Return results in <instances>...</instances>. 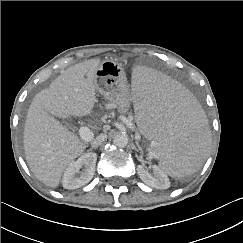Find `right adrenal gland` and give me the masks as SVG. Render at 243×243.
Returning a JSON list of instances; mask_svg holds the SVG:
<instances>
[{
  "label": "right adrenal gland",
  "mask_w": 243,
  "mask_h": 243,
  "mask_svg": "<svg viewBox=\"0 0 243 243\" xmlns=\"http://www.w3.org/2000/svg\"><path fill=\"white\" fill-rule=\"evenodd\" d=\"M96 149L95 147H92L91 150Z\"/></svg>",
  "instance_id": "1"
}]
</instances>
